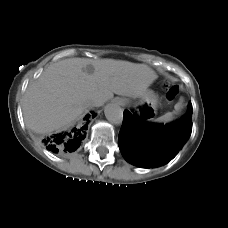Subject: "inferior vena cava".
I'll return each instance as SVG.
<instances>
[{
  "label": "inferior vena cava",
  "instance_id": "obj_1",
  "mask_svg": "<svg viewBox=\"0 0 228 228\" xmlns=\"http://www.w3.org/2000/svg\"><path fill=\"white\" fill-rule=\"evenodd\" d=\"M92 105H93L92 101H87V102L85 103V106H86L87 108L91 107Z\"/></svg>",
  "mask_w": 228,
  "mask_h": 228
}]
</instances>
